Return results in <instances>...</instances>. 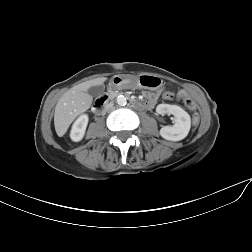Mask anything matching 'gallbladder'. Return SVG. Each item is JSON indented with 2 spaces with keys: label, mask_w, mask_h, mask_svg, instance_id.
<instances>
[{
  "label": "gallbladder",
  "mask_w": 252,
  "mask_h": 252,
  "mask_svg": "<svg viewBox=\"0 0 252 252\" xmlns=\"http://www.w3.org/2000/svg\"><path fill=\"white\" fill-rule=\"evenodd\" d=\"M104 85H96V86H92L88 89V94L91 95L92 97H97L99 95H101L104 92Z\"/></svg>",
  "instance_id": "obj_1"
}]
</instances>
